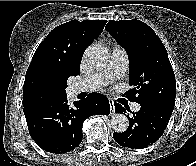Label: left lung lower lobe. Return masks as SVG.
<instances>
[{
	"mask_svg": "<svg viewBox=\"0 0 196 166\" xmlns=\"http://www.w3.org/2000/svg\"><path fill=\"white\" fill-rule=\"evenodd\" d=\"M141 109L132 117L128 116L129 127L125 132L113 133L114 140L123 147L146 148L164 133L172 111L152 104H140ZM127 107L115 104L116 113L126 112Z\"/></svg>",
	"mask_w": 196,
	"mask_h": 166,
	"instance_id": "0a47b994",
	"label": "left lung lower lobe"
}]
</instances>
